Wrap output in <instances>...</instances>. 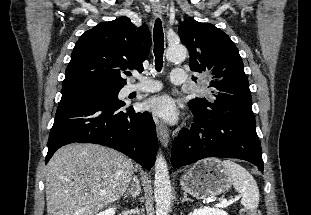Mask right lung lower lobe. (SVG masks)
I'll return each mask as SVG.
<instances>
[{
	"instance_id": "1",
	"label": "right lung lower lobe",
	"mask_w": 311,
	"mask_h": 215,
	"mask_svg": "<svg viewBox=\"0 0 311 215\" xmlns=\"http://www.w3.org/2000/svg\"><path fill=\"white\" fill-rule=\"evenodd\" d=\"M123 105L102 106L73 101L59 104L48 140L47 164L60 147L94 143L116 149L150 169L157 150L155 123L150 113H135Z\"/></svg>"
}]
</instances>
